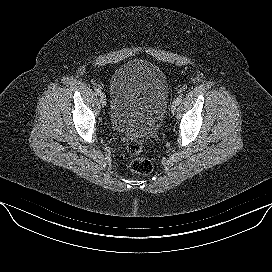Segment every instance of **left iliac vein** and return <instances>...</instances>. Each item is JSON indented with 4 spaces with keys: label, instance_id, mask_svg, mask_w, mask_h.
I'll list each match as a JSON object with an SVG mask.
<instances>
[{
    "label": "left iliac vein",
    "instance_id": "obj_1",
    "mask_svg": "<svg viewBox=\"0 0 272 272\" xmlns=\"http://www.w3.org/2000/svg\"><path fill=\"white\" fill-rule=\"evenodd\" d=\"M177 103L174 101L171 105V112L174 114L177 110Z\"/></svg>",
    "mask_w": 272,
    "mask_h": 272
}]
</instances>
